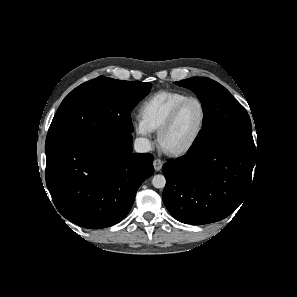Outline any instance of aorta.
Returning <instances> with one entry per match:
<instances>
[{"label":"aorta","instance_id":"aorta-1","mask_svg":"<svg viewBox=\"0 0 297 297\" xmlns=\"http://www.w3.org/2000/svg\"><path fill=\"white\" fill-rule=\"evenodd\" d=\"M152 184L155 188L162 189L166 185V179L164 175L157 174L152 178Z\"/></svg>","mask_w":297,"mask_h":297}]
</instances>
